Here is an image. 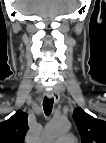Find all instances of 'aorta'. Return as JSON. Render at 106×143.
<instances>
[{"mask_svg":"<svg viewBox=\"0 0 106 143\" xmlns=\"http://www.w3.org/2000/svg\"><path fill=\"white\" fill-rule=\"evenodd\" d=\"M70 130V123L64 119H55L49 122L45 128V136L48 138H56L61 134Z\"/></svg>","mask_w":106,"mask_h":143,"instance_id":"762f6f07","label":"aorta"}]
</instances>
